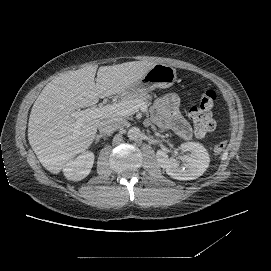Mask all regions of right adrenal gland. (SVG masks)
Wrapping results in <instances>:
<instances>
[{"label": "right adrenal gland", "instance_id": "obj_1", "mask_svg": "<svg viewBox=\"0 0 271 271\" xmlns=\"http://www.w3.org/2000/svg\"><path fill=\"white\" fill-rule=\"evenodd\" d=\"M107 137V134H99L97 137H96V141H95V144H97L98 142H100L101 138H106Z\"/></svg>", "mask_w": 271, "mask_h": 271}]
</instances>
